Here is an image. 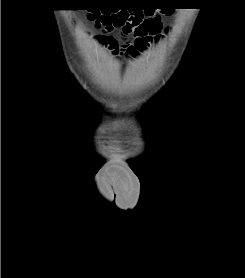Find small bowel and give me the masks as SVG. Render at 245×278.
I'll use <instances>...</instances> for the list:
<instances>
[{"instance_id":"c3829d8e","label":"small bowel","mask_w":245,"mask_h":278,"mask_svg":"<svg viewBox=\"0 0 245 278\" xmlns=\"http://www.w3.org/2000/svg\"><path fill=\"white\" fill-rule=\"evenodd\" d=\"M127 1V0H123ZM161 34L157 37H150L147 40H142L138 37L132 42L127 44L119 45L117 40L113 37H108L106 43L114 54L117 55H128L132 59L138 58L154 41L158 40Z\"/></svg>"}]
</instances>
